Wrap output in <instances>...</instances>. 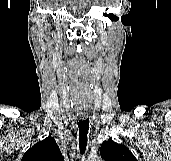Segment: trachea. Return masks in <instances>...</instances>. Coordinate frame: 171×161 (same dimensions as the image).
I'll return each instance as SVG.
<instances>
[{"label":"trachea","mask_w":171,"mask_h":161,"mask_svg":"<svg viewBox=\"0 0 171 161\" xmlns=\"http://www.w3.org/2000/svg\"><path fill=\"white\" fill-rule=\"evenodd\" d=\"M79 148L80 153H84L87 145V135L89 131V119L79 120Z\"/></svg>","instance_id":"obj_1"}]
</instances>
